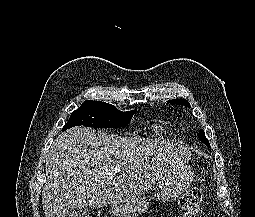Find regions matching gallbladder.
Here are the masks:
<instances>
[{
	"instance_id": "1",
	"label": "gallbladder",
	"mask_w": 255,
	"mask_h": 217,
	"mask_svg": "<svg viewBox=\"0 0 255 217\" xmlns=\"http://www.w3.org/2000/svg\"><path fill=\"white\" fill-rule=\"evenodd\" d=\"M69 217H89V210L85 206H78L70 210Z\"/></svg>"
}]
</instances>
